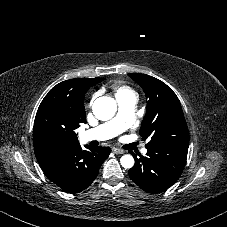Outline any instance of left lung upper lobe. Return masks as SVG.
<instances>
[{"mask_svg": "<svg viewBox=\"0 0 227 227\" xmlns=\"http://www.w3.org/2000/svg\"><path fill=\"white\" fill-rule=\"evenodd\" d=\"M129 76L144 90L146 115L140 135L150 138L146 146L189 143V131L179 99L164 82L139 73Z\"/></svg>", "mask_w": 227, "mask_h": 227, "instance_id": "left-lung-upper-lobe-1", "label": "left lung upper lobe"}]
</instances>
